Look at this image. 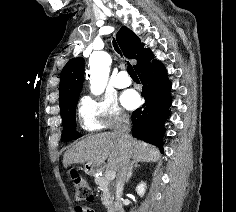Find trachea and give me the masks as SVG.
Here are the masks:
<instances>
[{
	"label": "trachea",
	"instance_id": "obj_1",
	"mask_svg": "<svg viewBox=\"0 0 236 212\" xmlns=\"http://www.w3.org/2000/svg\"><path fill=\"white\" fill-rule=\"evenodd\" d=\"M113 47H114L115 51H116L118 54L121 55V51H120V49H119V46H118V44H117V42H116V40H115L114 38H113ZM127 65H128V66H127V71H128V73H129L130 77H131V78H138V76H137V74L135 73V71H134L132 65H131L129 62H127Z\"/></svg>",
	"mask_w": 236,
	"mask_h": 212
}]
</instances>
